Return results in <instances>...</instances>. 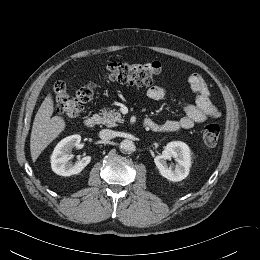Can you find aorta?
Wrapping results in <instances>:
<instances>
[{"label": "aorta", "mask_w": 260, "mask_h": 260, "mask_svg": "<svg viewBox=\"0 0 260 260\" xmlns=\"http://www.w3.org/2000/svg\"><path fill=\"white\" fill-rule=\"evenodd\" d=\"M120 150L124 152H132L135 150V144L132 140L125 139L120 143Z\"/></svg>", "instance_id": "aorta-1"}]
</instances>
